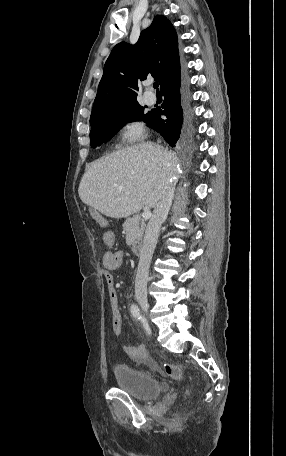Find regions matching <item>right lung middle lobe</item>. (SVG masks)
Instances as JSON below:
<instances>
[{
    "instance_id": "dd1d6c3e",
    "label": "right lung middle lobe",
    "mask_w": 286,
    "mask_h": 456,
    "mask_svg": "<svg viewBox=\"0 0 286 456\" xmlns=\"http://www.w3.org/2000/svg\"><path fill=\"white\" fill-rule=\"evenodd\" d=\"M152 112L144 114V107L139 103L111 109L91 121L90 143L93 148L109 141L126 123L144 121L149 123ZM191 130L179 143L188 140Z\"/></svg>"
}]
</instances>
